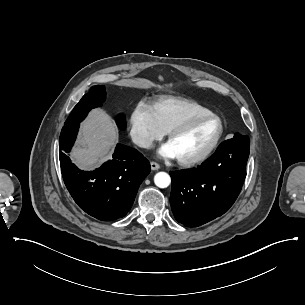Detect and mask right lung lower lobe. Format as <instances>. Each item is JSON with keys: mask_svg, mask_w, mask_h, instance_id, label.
I'll return each mask as SVG.
<instances>
[{"mask_svg": "<svg viewBox=\"0 0 305 305\" xmlns=\"http://www.w3.org/2000/svg\"><path fill=\"white\" fill-rule=\"evenodd\" d=\"M80 123L62 128L59 158L64 183L78 206L103 221L124 217L138 188L150 172V163L136 149L118 144L113 159L92 172L81 171L66 155L75 141Z\"/></svg>", "mask_w": 305, "mask_h": 305, "instance_id": "98d812e1", "label": "right lung lower lobe"}]
</instances>
